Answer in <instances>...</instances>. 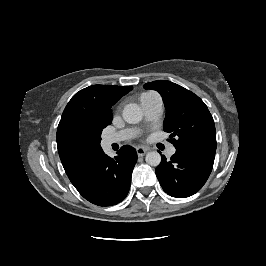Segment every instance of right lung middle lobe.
Returning <instances> with one entry per match:
<instances>
[{
	"mask_svg": "<svg viewBox=\"0 0 266 266\" xmlns=\"http://www.w3.org/2000/svg\"><path fill=\"white\" fill-rule=\"evenodd\" d=\"M111 121H112V120H110V121H108V122H106V123H104V124H102V125H100V126L98 127V129H97V138H98L99 142L101 141L100 135H101V133H102V129H103L104 127H106L108 124H110Z\"/></svg>",
	"mask_w": 266,
	"mask_h": 266,
	"instance_id": "right-lung-middle-lobe-1",
	"label": "right lung middle lobe"
}]
</instances>
